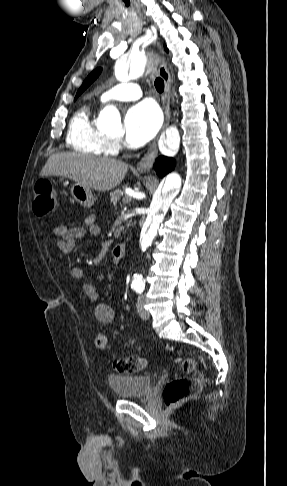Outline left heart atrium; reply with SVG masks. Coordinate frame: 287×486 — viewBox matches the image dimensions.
Instances as JSON below:
<instances>
[{"label":"left heart atrium","instance_id":"1","mask_svg":"<svg viewBox=\"0 0 287 486\" xmlns=\"http://www.w3.org/2000/svg\"><path fill=\"white\" fill-rule=\"evenodd\" d=\"M161 124L158 108L151 102H141L128 110L124 119L125 141L130 147L146 144Z\"/></svg>","mask_w":287,"mask_h":486}]
</instances>
